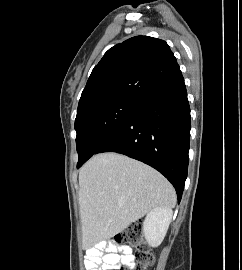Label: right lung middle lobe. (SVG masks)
Wrapping results in <instances>:
<instances>
[{"instance_id":"right-lung-middle-lobe-1","label":"right lung middle lobe","mask_w":242,"mask_h":270,"mask_svg":"<svg viewBox=\"0 0 242 270\" xmlns=\"http://www.w3.org/2000/svg\"><path fill=\"white\" fill-rule=\"evenodd\" d=\"M136 101L117 100L77 115L75 130L78 163L86 162L120 127Z\"/></svg>"}]
</instances>
